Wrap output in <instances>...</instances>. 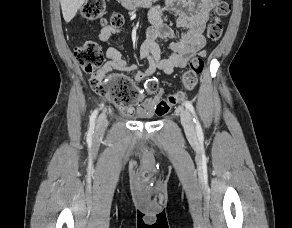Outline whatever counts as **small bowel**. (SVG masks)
Masks as SVG:
<instances>
[{
    "instance_id": "c3829d8e",
    "label": "small bowel",
    "mask_w": 292,
    "mask_h": 228,
    "mask_svg": "<svg viewBox=\"0 0 292 228\" xmlns=\"http://www.w3.org/2000/svg\"><path fill=\"white\" fill-rule=\"evenodd\" d=\"M217 0H167L164 6H157L149 13L151 26L146 39L139 49V57L146 60L145 69H138L128 64L121 53L112 45L113 39L120 34L121 27H103L98 35L99 40L106 45V63L100 69L102 75L117 70L131 73L136 81L152 80L157 71L167 75L186 67L189 59L195 55H205L206 39L203 35L211 10ZM165 13L174 17L175 26L182 32L177 36L174 29L164 21ZM160 40H169L168 53L164 55V48ZM148 92L151 97L141 100L137 108L119 106L122 113L128 116L151 117L156 113V106L163 95V89L157 87Z\"/></svg>"
}]
</instances>
